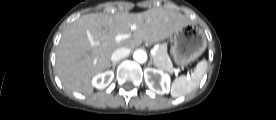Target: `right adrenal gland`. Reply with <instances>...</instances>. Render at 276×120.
Wrapping results in <instances>:
<instances>
[{
  "label": "right adrenal gland",
  "instance_id": "right-adrenal-gland-1",
  "mask_svg": "<svg viewBox=\"0 0 276 120\" xmlns=\"http://www.w3.org/2000/svg\"><path fill=\"white\" fill-rule=\"evenodd\" d=\"M116 64H117V62H114V63H112V64L110 65V66L113 67V70L115 69Z\"/></svg>",
  "mask_w": 276,
  "mask_h": 120
}]
</instances>
